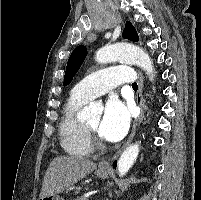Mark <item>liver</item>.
Listing matches in <instances>:
<instances>
[{"mask_svg": "<svg viewBox=\"0 0 201 200\" xmlns=\"http://www.w3.org/2000/svg\"><path fill=\"white\" fill-rule=\"evenodd\" d=\"M96 167V163L81 157L54 158L45 173L40 198L63 192L90 174Z\"/></svg>", "mask_w": 201, "mask_h": 200, "instance_id": "liver-1", "label": "liver"}]
</instances>
